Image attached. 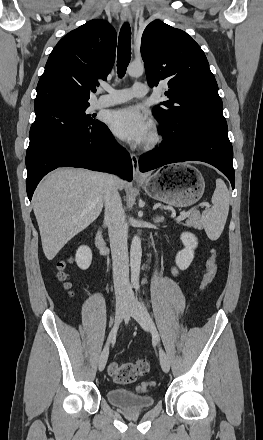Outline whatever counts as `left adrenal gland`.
<instances>
[{
	"mask_svg": "<svg viewBox=\"0 0 263 440\" xmlns=\"http://www.w3.org/2000/svg\"><path fill=\"white\" fill-rule=\"evenodd\" d=\"M163 220H164L163 216H157L156 218H154V222L157 224L162 223Z\"/></svg>",
	"mask_w": 263,
	"mask_h": 440,
	"instance_id": "1",
	"label": "left adrenal gland"
}]
</instances>
